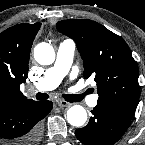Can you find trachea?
I'll use <instances>...</instances> for the list:
<instances>
[{
    "label": "trachea",
    "mask_w": 145,
    "mask_h": 145,
    "mask_svg": "<svg viewBox=\"0 0 145 145\" xmlns=\"http://www.w3.org/2000/svg\"><path fill=\"white\" fill-rule=\"evenodd\" d=\"M48 94L46 93H37L35 95V98L37 100H46L48 99ZM84 95L83 94H77V95H74V94H71V95H65L64 98L69 101V102H79L83 99Z\"/></svg>",
    "instance_id": "1"
}]
</instances>
